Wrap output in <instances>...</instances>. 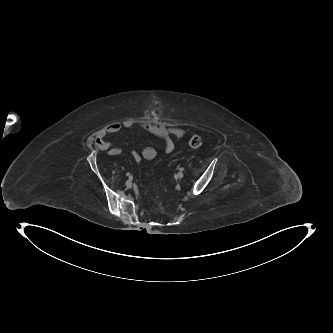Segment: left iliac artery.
Instances as JSON below:
<instances>
[{"label":"left iliac artery","instance_id":"obj_1","mask_svg":"<svg viewBox=\"0 0 333 333\" xmlns=\"http://www.w3.org/2000/svg\"><path fill=\"white\" fill-rule=\"evenodd\" d=\"M183 170H184V168H183V167H180V168H179V171H180V172H182Z\"/></svg>","mask_w":333,"mask_h":333}]
</instances>
